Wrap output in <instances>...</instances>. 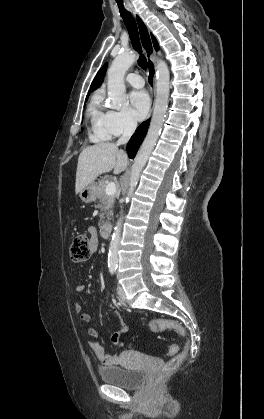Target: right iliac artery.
I'll return each mask as SVG.
<instances>
[{"instance_id": "obj_1", "label": "right iliac artery", "mask_w": 264, "mask_h": 419, "mask_svg": "<svg viewBox=\"0 0 264 419\" xmlns=\"http://www.w3.org/2000/svg\"><path fill=\"white\" fill-rule=\"evenodd\" d=\"M115 270H116V268L111 267V268H110V273L113 275V274L115 273Z\"/></svg>"}]
</instances>
